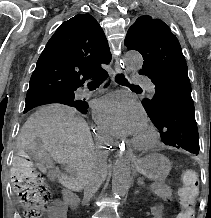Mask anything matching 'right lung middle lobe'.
<instances>
[{"label":"right lung middle lobe","instance_id":"obj_1","mask_svg":"<svg viewBox=\"0 0 211 218\" xmlns=\"http://www.w3.org/2000/svg\"><path fill=\"white\" fill-rule=\"evenodd\" d=\"M59 105L75 107L78 111L84 114L87 112L88 108L87 102L77 100L74 96V90H72L58 92L28 101L26 102L24 113L28 111H35L49 107H55Z\"/></svg>","mask_w":211,"mask_h":218}]
</instances>
